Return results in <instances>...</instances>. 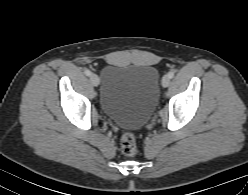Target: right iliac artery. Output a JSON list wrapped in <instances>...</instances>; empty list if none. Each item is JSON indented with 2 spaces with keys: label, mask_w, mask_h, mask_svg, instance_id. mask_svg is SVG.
Listing matches in <instances>:
<instances>
[{
  "label": "right iliac artery",
  "mask_w": 248,
  "mask_h": 195,
  "mask_svg": "<svg viewBox=\"0 0 248 195\" xmlns=\"http://www.w3.org/2000/svg\"><path fill=\"white\" fill-rule=\"evenodd\" d=\"M91 74H92V73H91L90 70H86V71H85V75H86V76H91Z\"/></svg>",
  "instance_id": "1"
}]
</instances>
